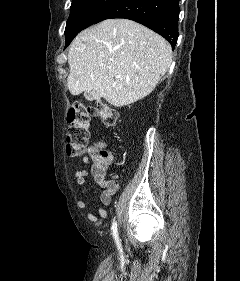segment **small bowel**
Masks as SVG:
<instances>
[{
	"mask_svg": "<svg viewBox=\"0 0 240 281\" xmlns=\"http://www.w3.org/2000/svg\"><path fill=\"white\" fill-rule=\"evenodd\" d=\"M114 161L113 157L111 156V161L109 163L112 164ZM83 162L87 164L89 162V158L85 157L83 159ZM89 176V179L92 183L99 185L103 191L100 194V201L103 205H109L111 203L112 195L116 192L117 190V182L112 179H108L104 173L98 172L94 167L90 172L87 170H78L74 174L75 181L78 185L82 186L86 183L87 177ZM77 206L80 209H86L87 208V203L85 201H78ZM97 213L100 217L106 218L107 214L104 209L102 208H97ZM88 219L91 222H97L98 217L90 212L88 213Z\"/></svg>",
	"mask_w": 240,
	"mask_h": 281,
	"instance_id": "c3829d8e",
	"label": "small bowel"
}]
</instances>
